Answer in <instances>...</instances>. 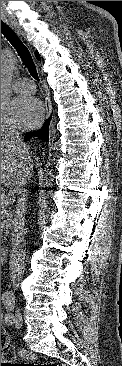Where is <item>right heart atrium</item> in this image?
<instances>
[{
    "label": "right heart atrium",
    "instance_id": "d8ad5b80",
    "mask_svg": "<svg viewBox=\"0 0 122 366\" xmlns=\"http://www.w3.org/2000/svg\"><path fill=\"white\" fill-rule=\"evenodd\" d=\"M9 129H14V125L11 123L10 119H6L1 116V134Z\"/></svg>",
    "mask_w": 122,
    "mask_h": 366
}]
</instances>
